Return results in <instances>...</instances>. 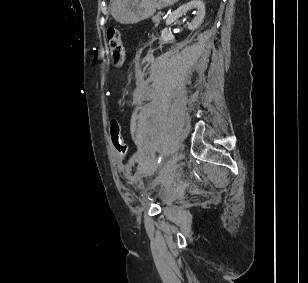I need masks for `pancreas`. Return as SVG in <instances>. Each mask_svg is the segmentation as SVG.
Segmentation results:
<instances>
[{
	"instance_id": "cf45deb5",
	"label": "pancreas",
	"mask_w": 308,
	"mask_h": 283,
	"mask_svg": "<svg viewBox=\"0 0 308 283\" xmlns=\"http://www.w3.org/2000/svg\"><path fill=\"white\" fill-rule=\"evenodd\" d=\"M160 20H161L160 13L152 17V21L155 23V26H158Z\"/></svg>"
}]
</instances>
